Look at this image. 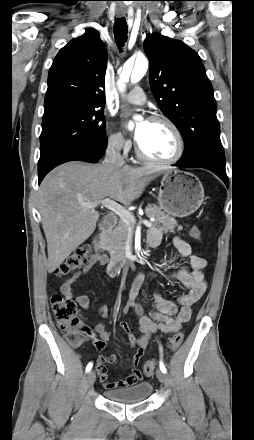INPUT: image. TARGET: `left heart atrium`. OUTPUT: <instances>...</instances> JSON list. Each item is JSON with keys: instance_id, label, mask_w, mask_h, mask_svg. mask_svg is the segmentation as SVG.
<instances>
[{"instance_id": "1", "label": "left heart atrium", "mask_w": 254, "mask_h": 440, "mask_svg": "<svg viewBox=\"0 0 254 440\" xmlns=\"http://www.w3.org/2000/svg\"><path fill=\"white\" fill-rule=\"evenodd\" d=\"M147 123H148L147 121H146V122H143V123L140 124V125L138 126V128L136 129V131H135V139H136L137 142L141 139V137H142V135H143V133H144V130H145V127H146V124H147Z\"/></svg>"}]
</instances>
